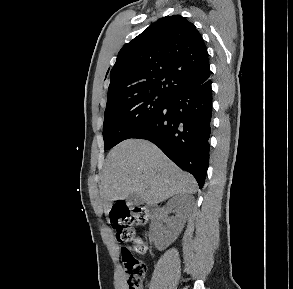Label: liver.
<instances>
[{"instance_id":"6515ba94","label":"liver","mask_w":293,"mask_h":289,"mask_svg":"<svg viewBox=\"0 0 293 289\" xmlns=\"http://www.w3.org/2000/svg\"><path fill=\"white\" fill-rule=\"evenodd\" d=\"M99 189L104 202L135 193L143 203L153 205L176 194H193L197 183L151 142L128 139L108 153Z\"/></svg>"}]
</instances>
